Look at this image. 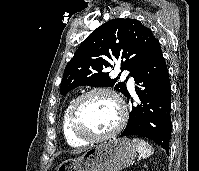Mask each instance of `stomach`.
<instances>
[{"mask_svg":"<svg viewBox=\"0 0 199 171\" xmlns=\"http://www.w3.org/2000/svg\"><path fill=\"white\" fill-rule=\"evenodd\" d=\"M136 152V145L129 138H114L78 158L61 162L56 171H120L133 162Z\"/></svg>","mask_w":199,"mask_h":171,"instance_id":"1","label":"stomach"}]
</instances>
